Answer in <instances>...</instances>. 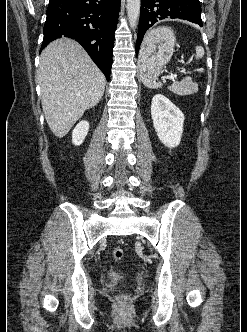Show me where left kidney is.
<instances>
[{
    "instance_id": "left-kidney-1",
    "label": "left kidney",
    "mask_w": 247,
    "mask_h": 332,
    "mask_svg": "<svg viewBox=\"0 0 247 332\" xmlns=\"http://www.w3.org/2000/svg\"><path fill=\"white\" fill-rule=\"evenodd\" d=\"M151 116L159 140L169 148L177 147L183 133L184 114L167 97L152 98Z\"/></svg>"
}]
</instances>
